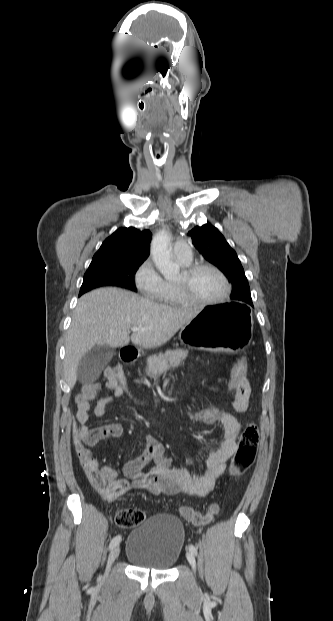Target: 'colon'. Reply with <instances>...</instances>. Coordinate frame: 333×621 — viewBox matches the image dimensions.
<instances>
[{
  "label": "colon",
  "mask_w": 333,
  "mask_h": 621,
  "mask_svg": "<svg viewBox=\"0 0 333 621\" xmlns=\"http://www.w3.org/2000/svg\"><path fill=\"white\" fill-rule=\"evenodd\" d=\"M107 377L114 378L122 388L124 394H128L132 399L143 402V399L135 393L130 387L128 380L119 367H113L106 371ZM247 376V361L244 357L238 359L232 371L229 381V391L234 394L237 386ZM186 417L194 422H200L208 425L220 424L222 418V410L217 408H207L193 412H187ZM74 447L78 458L81 462L85 475L94 487V489L105 499H108L115 493L113 480L100 466L93 456L92 452L87 448V444L80 436L79 428L76 424L73 426ZM259 445V431L254 423L247 425L243 431L238 449L232 459L230 465V475L239 477L245 474L253 465ZM218 507L211 505L206 514H201L190 507L182 510L183 517L194 526H201L212 520L217 513ZM145 519L143 511L134 508H126L120 510L115 517L116 524L121 528H132L141 524Z\"/></svg>",
  "instance_id": "1"
}]
</instances>
